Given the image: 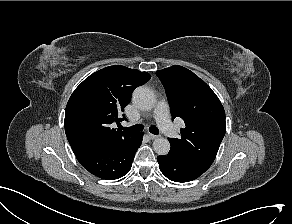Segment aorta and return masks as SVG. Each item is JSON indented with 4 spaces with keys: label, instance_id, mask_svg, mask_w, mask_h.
I'll use <instances>...</instances> for the list:
<instances>
[{
    "label": "aorta",
    "instance_id": "1",
    "mask_svg": "<svg viewBox=\"0 0 292 224\" xmlns=\"http://www.w3.org/2000/svg\"><path fill=\"white\" fill-rule=\"evenodd\" d=\"M133 102L143 110H151L155 107L156 98L152 90L140 86L133 93ZM153 149L158 155H167L170 150V142L166 138H157L153 142Z\"/></svg>",
    "mask_w": 292,
    "mask_h": 224
}]
</instances>
